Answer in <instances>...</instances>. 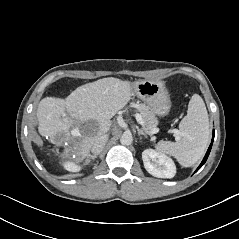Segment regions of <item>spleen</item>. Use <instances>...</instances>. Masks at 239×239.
Instances as JSON below:
<instances>
[{"label":"spleen","instance_id":"obj_1","mask_svg":"<svg viewBox=\"0 0 239 239\" xmlns=\"http://www.w3.org/2000/svg\"><path fill=\"white\" fill-rule=\"evenodd\" d=\"M210 136L209 118L203 99L194 94L187 115L179 124L176 142L161 141L156 151L173 156L183 167L194 165L204 155Z\"/></svg>","mask_w":239,"mask_h":239}]
</instances>
